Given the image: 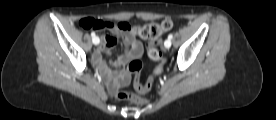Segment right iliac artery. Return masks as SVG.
I'll return each instance as SVG.
<instances>
[{
  "mask_svg": "<svg viewBox=\"0 0 276 120\" xmlns=\"http://www.w3.org/2000/svg\"><path fill=\"white\" fill-rule=\"evenodd\" d=\"M91 36H92V40H93V43H99L100 42V40H99V38L96 40V35H95V33L94 32H92L91 33Z\"/></svg>",
  "mask_w": 276,
  "mask_h": 120,
  "instance_id": "82829eb1",
  "label": "right iliac artery"
}]
</instances>
